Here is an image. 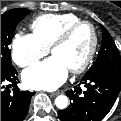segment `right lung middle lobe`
Masks as SVG:
<instances>
[{
  "mask_svg": "<svg viewBox=\"0 0 121 121\" xmlns=\"http://www.w3.org/2000/svg\"><path fill=\"white\" fill-rule=\"evenodd\" d=\"M30 13L25 8L12 9L1 15V67H13L9 45L16 25Z\"/></svg>",
  "mask_w": 121,
  "mask_h": 121,
  "instance_id": "right-lung-middle-lobe-1",
  "label": "right lung middle lobe"
}]
</instances>
